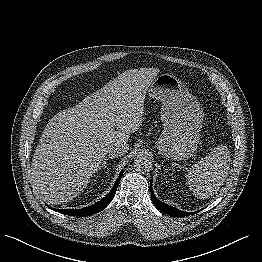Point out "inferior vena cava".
<instances>
[{
  "instance_id": "1",
  "label": "inferior vena cava",
  "mask_w": 262,
  "mask_h": 262,
  "mask_svg": "<svg viewBox=\"0 0 262 262\" xmlns=\"http://www.w3.org/2000/svg\"><path fill=\"white\" fill-rule=\"evenodd\" d=\"M129 150V145L126 142H118L108 147V153L112 157H120L126 154Z\"/></svg>"
}]
</instances>
